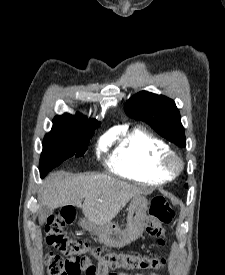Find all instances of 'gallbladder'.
Wrapping results in <instances>:
<instances>
[{
	"instance_id": "obj_1",
	"label": "gallbladder",
	"mask_w": 225,
	"mask_h": 275,
	"mask_svg": "<svg viewBox=\"0 0 225 275\" xmlns=\"http://www.w3.org/2000/svg\"><path fill=\"white\" fill-rule=\"evenodd\" d=\"M53 214V209L47 206H41L39 209V222H45V220Z\"/></svg>"
}]
</instances>
